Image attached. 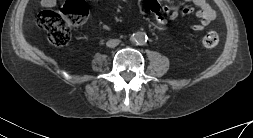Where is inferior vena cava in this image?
I'll return each instance as SVG.
<instances>
[{"mask_svg":"<svg viewBox=\"0 0 253 138\" xmlns=\"http://www.w3.org/2000/svg\"><path fill=\"white\" fill-rule=\"evenodd\" d=\"M119 43H120L119 39H110L107 41L106 45L110 48H114V47L118 46Z\"/></svg>","mask_w":253,"mask_h":138,"instance_id":"602c4592","label":"inferior vena cava"}]
</instances>
